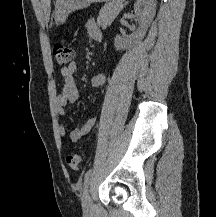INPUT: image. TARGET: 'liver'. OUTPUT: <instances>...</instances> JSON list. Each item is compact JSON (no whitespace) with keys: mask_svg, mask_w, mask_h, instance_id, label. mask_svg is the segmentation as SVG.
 Listing matches in <instances>:
<instances>
[{"mask_svg":"<svg viewBox=\"0 0 216 217\" xmlns=\"http://www.w3.org/2000/svg\"><path fill=\"white\" fill-rule=\"evenodd\" d=\"M50 1L51 0H42V3L45 5V7L47 9L48 15L50 14Z\"/></svg>","mask_w":216,"mask_h":217,"instance_id":"liver-1","label":"liver"}]
</instances>
